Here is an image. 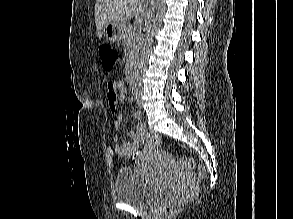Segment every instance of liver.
Instances as JSON below:
<instances>
[{
	"label": "liver",
	"mask_w": 293,
	"mask_h": 219,
	"mask_svg": "<svg viewBox=\"0 0 293 219\" xmlns=\"http://www.w3.org/2000/svg\"><path fill=\"white\" fill-rule=\"evenodd\" d=\"M144 10L140 0H96L95 24L98 38L111 22L125 23L135 17V24L141 25Z\"/></svg>",
	"instance_id": "liver-1"
}]
</instances>
